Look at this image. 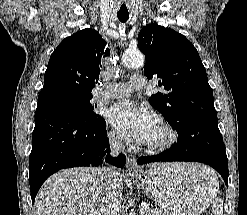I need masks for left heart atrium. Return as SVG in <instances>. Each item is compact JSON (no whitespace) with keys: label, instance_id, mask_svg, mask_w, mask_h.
Wrapping results in <instances>:
<instances>
[{"label":"left heart atrium","instance_id":"obj_1","mask_svg":"<svg viewBox=\"0 0 247 215\" xmlns=\"http://www.w3.org/2000/svg\"><path fill=\"white\" fill-rule=\"evenodd\" d=\"M107 119L118 134L143 143L147 142L158 125L154 113L128 100L110 107Z\"/></svg>","mask_w":247,"mask_h":215}]
</instances>
